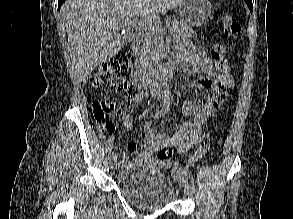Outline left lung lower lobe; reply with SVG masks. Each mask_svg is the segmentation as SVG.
<instances>
[{
	"label": "left lung lower lobe",
	"mask_w": 293,
	"mask_h": 219,
	"mask_svg": "<svg viewBox=\"0 0 293 219\" xmlns=\"http://www.w3.org/2000/svg\"><path fill=\"white\" fill-rule=\"evenodd\" d=\"M247 4V6L249 7L250 9V12L252 13L253 11V4H252V0H244Z\"/></svg>",
	"instance_id": "left-lung-lower-lobe-1"
}]
</instances>
